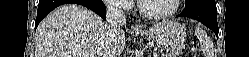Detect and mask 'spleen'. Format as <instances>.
I'll return each instance as SVG.
<instances>
[{
    "label": "spleen",
    "mask_w": 249,
    "mask_h": 57,
    "mask_svg": "<svg viewBox=\"0 0 249 57\" xmlns=\"http://www.w3.org/2000/svg\"><path fill=\"white\" fill-rule=\"evenodd\" d=\"M195 32H196V35H197V37H198V39H199V41H200L202 47L205 48V46H207V42H208V37H207L206 32L203 31V30H202L201 28H199V27H196ZM204 54H205V57H214L213 53L210 52V51H208V50L205 51Z\"/></svg>",
    "instance_id": "obj_1"
}]
</instances>
